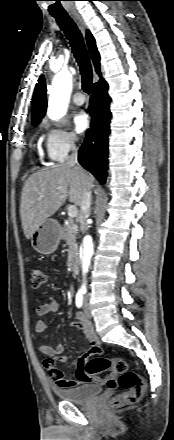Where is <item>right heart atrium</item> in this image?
<instances>
[{
  "instance_id": "d8ad5b80",
  "label": "right heart atrium",
  "mask_w": 174,
  "mask_h": 440,
  "mask_svg": "<svg viewBox=\"0 0 174 440\" xmlns=\"http://www.w3.org/2000/svg\"><path fill=\"white\" fill-rule=\"evenodd\" d=\"M46 133L44 138L45 153L52 163L64 161L77 147V139L69 130L57 126L44 124Z\"/></svg>"
}]
</instances>
